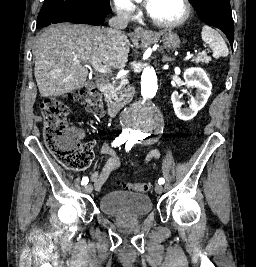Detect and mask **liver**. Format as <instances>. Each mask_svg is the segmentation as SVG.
I'll use <instances>...</instances> for the list:
<instances>
[{
  "instance_id": "6515ba94",
  "label": "liver",
  "mask_w": 256,
  "mask_h": 267,
  "mask_svg": "<svg viewBox=\"0 0 256 267\" xmlns=\"http://www.w3.org/2000/svg\"><path fill=\"white\" fill-rule=\"evenodd\" d=\"M132 42L133 36H130ZM38 90L43 98L61 96L86 86L92 62L122 70L127 64L129 40L107 34V28L86 24H53L38 36L35 48Z\"/></svg>"
}]
</instances>
